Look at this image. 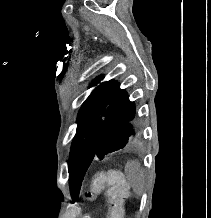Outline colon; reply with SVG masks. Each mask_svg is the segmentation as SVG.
<instances>
[{
  "instance_id": "colon-1",
  "label": "colon",
  "mask_w": 211,
  "mask_h": 218,
  "mask_svg": "<svg viewBox=\"0 0 211 218\" xmlns=\"http://www.w3.org/2000/svg\"><path fill=\"white\" fill-rule=\"evenodd\" d=\"M101 193H104L109 206L105 218H124V201L128 197L129 186L120 170H101L93 174L89 197L95 198Z\"/></svg>"
}]
</instances>
